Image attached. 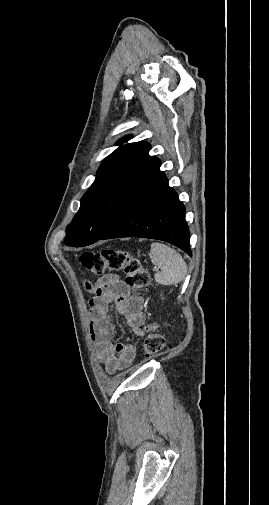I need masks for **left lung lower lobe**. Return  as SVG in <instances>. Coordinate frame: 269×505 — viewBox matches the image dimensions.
<instances>
[{
    "mask_svg": "<svg viewBox=\"0 0 269 505\" xmlns=\"http://www.w3.org/2000/svg\"><path fill=\"white\" fill-rule=\"evenodd\" d=\"M151 156L130 200L110 230L99 240L141 237L166 241L191 254L185 207Z\"/></svg>",
    "mask_w": 269,
    "mask_h": 505,
    "instance_id": "0a47b994",
    "label": "left lung lower lobe"
}]
</instances>
